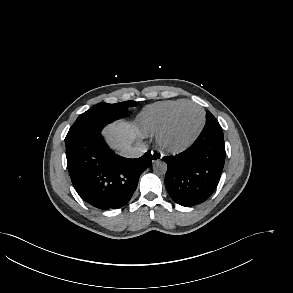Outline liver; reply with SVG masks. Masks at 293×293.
I'll return each instance as SVG.
<instances>
[{
    "label": "liver",
    "mask_w": 293,
    "mask_h": 293,
    "mask_svg": "<svg viewBox=\"0 0 293 293\" xmlns=\"http://www.w3.org/2000/svg\"><path fill=\"white\" fill-rule=\"evenodd\" d=\"M105 136L110 146L122 153L125 148L141 136V131L133 123L115 122L107 126Z\"/></svg>",
    "instance_id": "1"
}]
</instances>
